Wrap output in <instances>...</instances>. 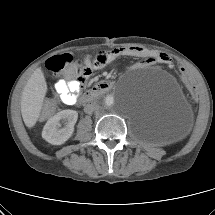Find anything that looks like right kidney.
Returning a JSON list of instances; mask_svg holds the SVG:
<instances>
[{
	"instance_id": "right-kidney-1",
	"label": "right kidney",
	"mask_w": 215,
	"mask_h": 215,
	"mask_svg": "<svg viewBox=\"0 0 215 215\" xmlns=\"http://www.w3.org/2000/svg\"><path fill=\"white\" fill-rule=\"evenodd\" d=\"M78 119V113L74 110H62L51 117L45 124L42 137L52 145H61L65 143L74 132V125ZM60 121L64 122L61 127Z\"/></svg>"
}]
</instances>
